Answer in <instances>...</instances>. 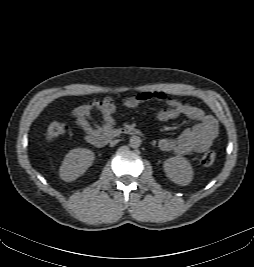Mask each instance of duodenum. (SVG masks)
Masks as SVG:
<instances>
[{
    "instance_id": "410a0bca",
    "label": "duodenum",
    "mask_w": 254,
    "mask_h": 267,
    "mask_svg": "<svg viewBox=\"0 0 254 267\" xmlns=\"http://www.w3.org/2000/svg\"><path fill=\"white\" fill-rule=\"evenodd\" d=\"M121 134L126 135H138L139 131L132 127H126L120 130H109L98 134H92L87 137V140L90 144L95 147H103L107 144V142L116 136Z\"/></svg>"
}]
</instances>
